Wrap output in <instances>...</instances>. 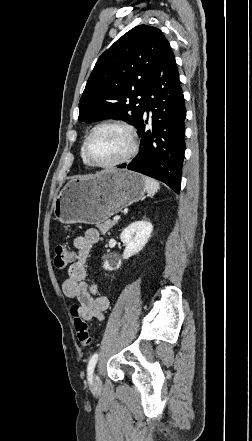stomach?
I'll list each match as a JSON object with an SVG mask.
<instances>
[{
    "label": "stomach",
    "instance_id": "stomach-1",
    "mask_svg": "<svg viewBox=\"0 0 252 441\" xmlns=\"http://www.w3.org/2000/svg\"><path fill=\"white\" fill-rule=\"evenodd\" d=\"M145 190L144 177L127 170L76 177L54 199V216L64 224L101 223L140 200Z\"/></svg>",
    "mask_w": 252,
    "mask_h": 441
}]
</instances>
